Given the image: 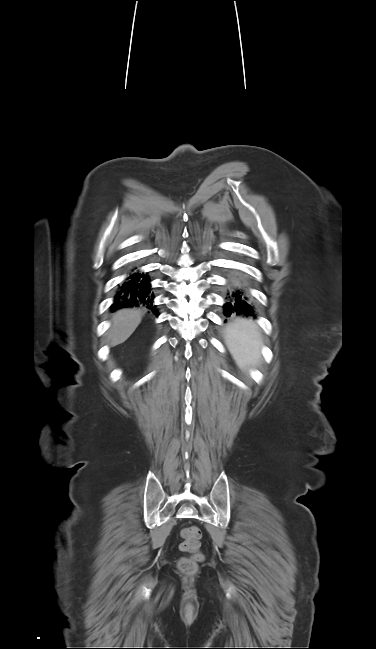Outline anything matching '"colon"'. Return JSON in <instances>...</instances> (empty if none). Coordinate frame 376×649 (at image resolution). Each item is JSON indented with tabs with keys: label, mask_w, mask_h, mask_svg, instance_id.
<instances>
[{
	"label": "colon",
	"mask_w": 376,
	"mask_h": 649,
	"mask_svg": "<svg viewBox=\"0 0 376 649\" xmlns=\"http://www.w3.org/2000/svg\"><path fill=\"white\" fill-rule=\"evenodd\" d=\"M201 537V530L196 526L186 527L182 530L183 541L180 548L182 551L192 554L191 558L180 561L179 568L182 571L192 572L196 567V563L202 559V555L199 553Z\"/></svg>",
	"instance_id": "obj_1"
}]
</instances>
